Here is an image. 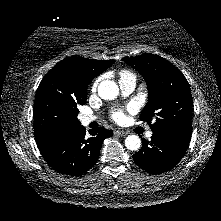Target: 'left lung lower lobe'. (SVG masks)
<instances>
[{
  "label": "left lung lower lobe",
  "mask_w": 221,
  "mask_h": 221,
  "mask_svg": "<svg viewBox=\"0 0 221 221\" xmlns=\"http://www.w3.org/2000/svg\"><path fill=\"white\" fill-rule=\"evenodd\" d=\"M189 142L153 133L151 141L142 139V148L133 155V160L150 174H162L173 169L183 158Z\"/></svg>",
  "instance_id": "0a47b994"
}]
</instances>
